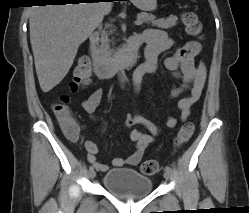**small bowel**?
I'll return each instance as SVG.
<instances>
[{
  "mask_svg": "<svg viewBox=\"0 0 249 213\" xmlns=\"http://www.w3.org/2000/svg\"><path fill=\"white\" fill-rule=\"evenodd\" d=\"M137 38L140 44H146V61L136 69L135 75L137 72L141 73V77L144 75H153L159 68V55L172 47L173 40L165 31L153 28L144 30ZM200 51L201 45L199 42L188 41L174 54L166 57L164 60L165 68L172 72L175 77L183 78L185 82L182 88L172 90L171 96L176 97L184 91L188 92V96L181 98L178 102L181 121L187 120L192 106L199 100L205 85L207 74L206 66L202 61L198 64L195 62V58ZM103 94L104 92L101 88L93 91L82 103L84 111L88 114H93ZM60 124L71 141L78 139L81 131V126L78 122L71 117V124L65 122H60ZM176 124L177 119L174 116L168 117L166 121L167 128H174ZM134 125L144 127L149 131V134L143 133L138 129H133L130 132V140L135 145V150L127 158H114L112 164L116 168L123 167L124 165H137L142 159L148 145L151 144L155 140V137L161 132V129L157 125L139 114L129 115L124 120L125 127L129 128ZM85 149L87 151L88 161L93 164L98 171L105 172L108 170L107 165L97 160L96 154L98 153V146L95 142L86 141Z\"/></svg>",
  "mask_w": 249,
  "mask_h": 213,
  "instance_id": "small-bowel-1",
  "label": "small bowel"
}]
</instances>
